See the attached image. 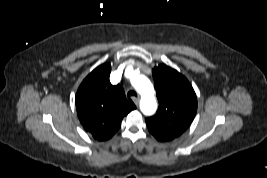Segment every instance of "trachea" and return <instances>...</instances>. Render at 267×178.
<instances>
[{
	"instance_id": "trachea-1",
	"label": "trachea",
	"mask_w": 267,
	"mask_h": 178,
	"mask_svg": "<svg viewBox=\"0 0 267 178\" xmlns=\"http://www.w3.org/2000/svg\"><path fill=\"white\" fill-rule=\"evenodd\" d=\"M127 96L130 97V96H135L137 97V93L134 91V90H130L128 93H127Z\"/></svg>"
}]
</instances>
